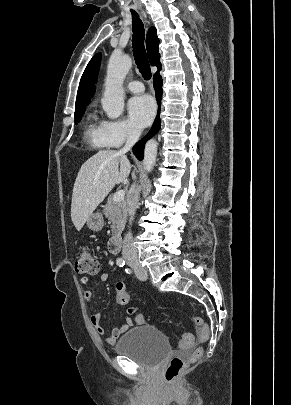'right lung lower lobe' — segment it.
Wrapping results in <instances>:
<instances>
[{
    "mask_svg": "<svg viewBox=\"0 0 291 405\" xmlns=\"http://www.w3.org/2000/svg\"><path fill=\"white\" fill-rule=\"evenodd\" d=\"M153 78H154V88H155L157 103L160 104V100L162 98V77L157 72V73H155ZM159 115H160V111L158 110L155 122L153 123V126H152L151 130L149 131V133L141 141L137 142L133 147V153L139 160H141L143 158V150H144V144H145L146 140L151 138L160 129Z\"/></svg>",
    "mask_w": 291,
    "mask_h": 405,
    "instance_id": "1",
    "label": "right lung lower lobe"
}]
</instances>
